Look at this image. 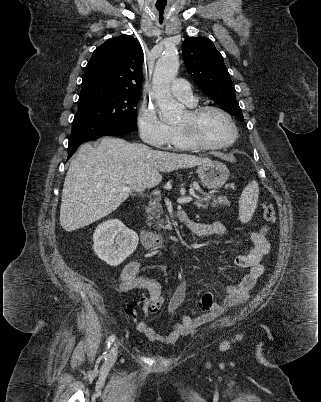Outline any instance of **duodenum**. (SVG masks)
<instances>
[{"label": "duodenum", "mask_w": 321, "mask_h": 402, "mask_svg": "<svg viewBox=\"0 0 321 402\" xmlns=\"http://www.w3.org/2000/svg\"><path fill=\"white\" fill-rule=\"evenodd\" d=\"M141 242L146 249H156L164 244L166 236L163 233H154L146 229L139 231Z\"/></svg>", "instance_id": "obj_1"}]
</instances>
